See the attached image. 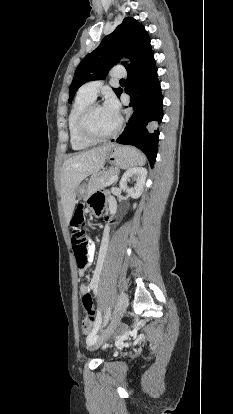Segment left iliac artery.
<instances>
[{"mask_svg":"<svg viewBox=\"0 0 233 414\" xmlns=\"http://www.w3.org/2000/svg\"><path fill=\"white\" fill-rule=\"evenodd\" d=\"M110 316H111V308L109 307V309H108V311H107V313L105 315L104 324H106L108 322ZM101 320H102L101 312L98 311L97 318H96V324H95V326L97 327V330H98V328L100 326Z\"/></svg>","mask_w":233,"mask_h":414,"instance_id":"44dca946","label":"left iliac artery"}]
</instances>
